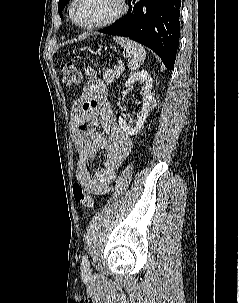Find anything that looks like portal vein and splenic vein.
<instances>
[{
    "instance_id": "1",
    "label": "portal vein and splenic vein",
    "mask_w": 239,
    "mask_h": 303,
    "mask_svg": "<svg viewBox=\"0 0 239 303\" xmlns=\"http://www.w3.org/2000/svg\"><path fill=\"white\" fill-rule=\"evenodd\" d=\"M121 67H123V65H121ZM121 67L120 66H116L115 69L119 70Z\"/></svg>"
}]
</instances>
